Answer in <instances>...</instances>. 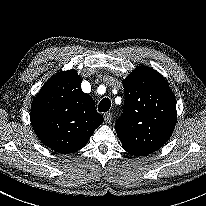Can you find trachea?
<instances>
[{"label":"trachea","instance_id":"obj_1","mask_svg":"<svg viewBox=\"0 0 206 206\" xmlns=\"http://www.w3.org/2000/svg\"><path fill=\"white\" fill-rule=\"evenodd\" d=\"M111 107V101L109 98H103L99 105H98V110L99 112H107Z\"/></svg>","mask_w":206,"mask_h":206}]
</instances>
